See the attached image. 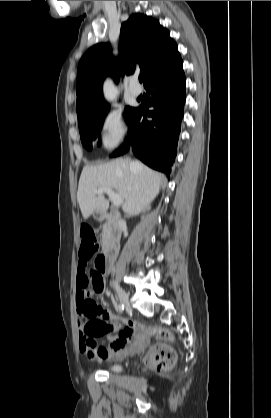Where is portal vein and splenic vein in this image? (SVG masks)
Returning a JSON list of instances; mask_svg holds the SVG:
<instances>
[{
	"label": "portal vein and splenic vein",
	"instance_id": "portal-vein-and-splenic-vein-1",
	"mask_svg": "<svg viewBox=\"0 0 271 418\" xmlns=\"http://www.w3.org/2000/svg\"><path fill=\"white\" fill-rule=\"evenodd\" d=\"M95 193L97 194L107 193L109 198L112 200V203L114 206H119L123 203L122 198L118 194H116L111 188L101 187L95 190Z\"/></svg>",
	"mask_w": 271,
	"mask_h": 418
}]
</instances>
